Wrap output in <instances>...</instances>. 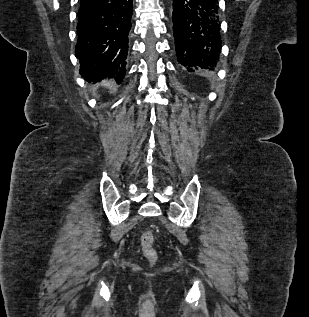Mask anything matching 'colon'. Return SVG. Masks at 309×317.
Wrapping results in <instances>:
<instances>
[{
	"mask_svg": "<svg viewBox=\"0 0 309 317\" xmlns=\"http://www.w3.org/2000/svg\"><path fill=\"white\" fill-rule=\"evenodd\" d=\"M140 243L144 256L150 263H156L158 254L154 247V236L152 232L144 231L140 236Z\"/></svg>",
	"mask_w": 309,
	"mask_h": 317,
	"instance_id": "1",
	"label": "colon"
}]
</instances>
